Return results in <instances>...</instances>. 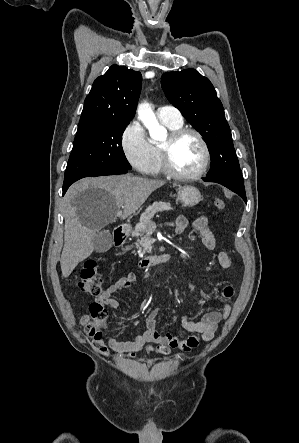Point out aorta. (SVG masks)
I'll return each mask as SVG.
<instances>
[{
    "label": "aorta",
    "mask_w": 299,
    "mask_h": 443,
    "mask_svg": "<svg viewBox=\"0 0 299 443\" xmlns=\"http://www.w3.org/2000/svg\"><path fill=\"white\" fill-rule=\"evenodd\" d=\"M138 116L144 126L148 129L149 135L154 140H162L166 137V129L161 126L148 104H143L138 110Z\"/></svg>",
    "instance_id": "1"
}]
</instances>
